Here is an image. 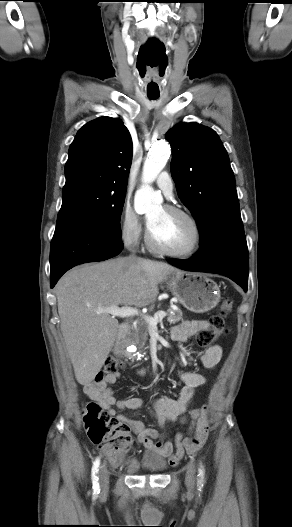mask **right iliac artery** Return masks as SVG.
Wrapping results in <instances>:
<instances>
[{
  "label": "right iliac artery",
  "mask_w": 292,
  "mask_h": 527,
  "mask_svg": "<svg viewBox=\"0 0 292 527\" xmlns=\"http://www.w3.org/2000/svg\"><path fill=\"white\" fill-rule=\"evenodd\" d=\"M99 465H100V459L97 458L94 461L93 466H92V483H93L94 493H99L100 492V486H99V482H98L99 478L97 477V472H98Z\"/></svg>",
  "instance_id": "right-iliac-artery-1"
}]
</instances>
